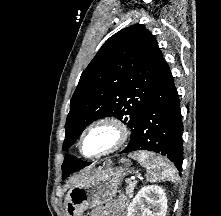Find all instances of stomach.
I'll return each instance as SVG.
<instances>
[{
  "label": "stomach",
  "instance_id": "0dacf381",
  "mask_svg": "<svg viewBox=\"0 0 221 216\" xmlns=\"http://www.w3.org/2000/svg\"><path fill=\"white\" fill-rule=\"evenodd\" d=\"M129 172L125 168L92 169L67 193L64 207L67 216H82L87 209L103 205L117 193L123 177Z\"/></svg>",
  "mask_w": 221,
  "mask_h": 216
}]
</instances>
